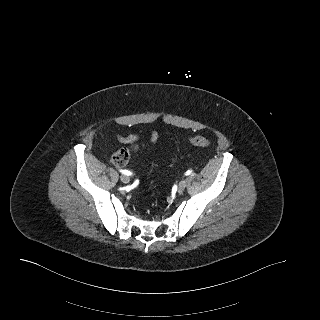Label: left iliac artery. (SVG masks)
I'll list each match as a JSON object with an SVG mask.
<instances>
[{
  "label": "left iliac artery",
  "mask_w": 320,
  "mask_h": 320,
  "mask_svg": "<svg viewBox=\"0 0 320 320\" xmlns=\"http://www.w3.org/2000/svg\"><path fill=\"white\" fill-rule=\"evenodd\" d=\"M192 173V170L186 171L185 175H190Z\"/></svg>",
  "instance_id": "left-iliac-artery-1"
}]
</instances>
